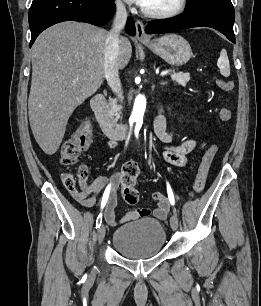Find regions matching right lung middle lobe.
<instances>
[{"instance_id": "dd1d6c3e", "label": "right lung middle lobe", "mask_w": 261, "mask_h": 306, "mask_svg": "<svg viewBox=\"0 0 261 306\" xmlns=\"http://www.w3.org/2000/svg\"><path fill=\"white\" fill-rule=\"evenodd\" d=\"M106 1H114V0H106Z\"/></svg>"}]
</instances>
